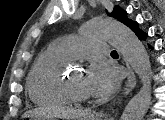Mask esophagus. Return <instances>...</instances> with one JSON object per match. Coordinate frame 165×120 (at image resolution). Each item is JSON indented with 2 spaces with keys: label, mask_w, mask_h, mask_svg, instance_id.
<instances>
[{
  "label": "esophagus",
  "mask_w": 165,
  "mask_h": 120,
  "mask_svg": "<svg viewBox=\"0 0 165 120\" xmlns=\"http://www.w3.org/2000/svg\"><path fill=\"white\" fill-rule=\"evenodd\" d=\"M127 69H128V78L124 87V95H128L133 88L136 85V77L133 72V70L130 68V66L126 63Z\"/></svg>",
  "instance_id": "obj_1"
}]
</instances>
